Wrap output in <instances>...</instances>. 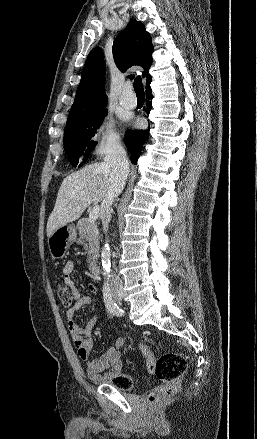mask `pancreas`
<instances>
[{
    "instance_id": "obj_1",
    "label": "pancreas",
    "mask_w": 257,
    "mask_h": 439,
    "mask_svg": "<svg viewBox=\"0 0 257 439\" xmlns=\"http://www.w3.org/2000/svg\"><path fill=\"white\" fill-rule=\"evenodd\" d=\"M79 231V242L84 245L90 264L98 254L99 249V232L98 225L95 221H88V219L82 218L77 223Z\"/></svg>"
}]
</instances>
